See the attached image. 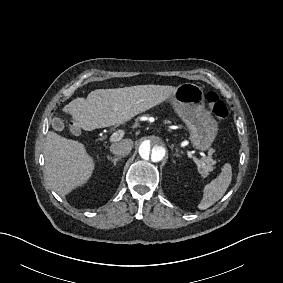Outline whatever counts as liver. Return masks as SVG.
Segmentation results:
<instances>
[{
	"instance_id": "liver-1",
	"label": "liver",
	"mask_w": 283,
	"mask_h": 283,
	"mask_svg": "<svg viewBox=\"0 0 283 283\" xmlns=\"http://www.w3.org/2000/svg\"><path fill=\"white\" fill-rule=\"evenodd\" d=\"M175 90L176 87L163 85L96 89L86 99H74L63 111L72 116L75 127L92 131L123 124L166 101ZM44 158L47 180L63 196L86 183L94 170L93 158L87 154L82 143L66 139L53 131L47 133Z\"/></svg>"
}]
</instances>
